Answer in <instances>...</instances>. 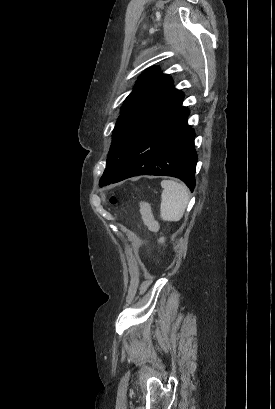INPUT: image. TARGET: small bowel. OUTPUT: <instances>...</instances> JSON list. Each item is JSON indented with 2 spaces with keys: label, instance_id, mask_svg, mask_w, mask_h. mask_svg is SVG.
Segmentation results:
<instances>
[{
  "label": "small bowel",
  "instance_id": "c3829d8e",
  "mask_svg": "<svg viewBox=\"0 0 275 409\" xmlns=\"http://www.w3.org/2000/svg\"><path fill=\"white\" fill-rule=\"evenodd\" d=\"M141 216L143 219V222L145 225L151 230V231H157L158 230V224L154 220L151 209L147 204H142L140 208Z\"/></svg>",
  "mask_w": 275,
  "mask_h": 409
}]
</instances>
